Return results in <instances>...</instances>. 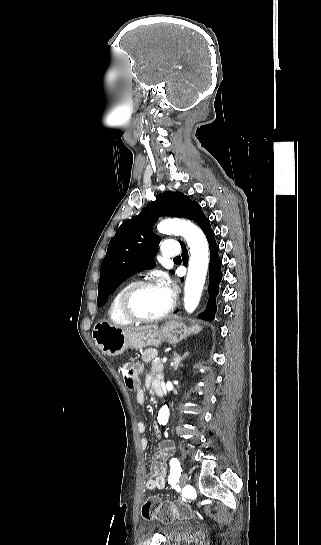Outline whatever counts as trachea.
<instances>
[{
  "instance_id": "1",
  "label": "trachea",
  "mask_w": 321,
  "mask_h": 545,
  "mask_svg": "<svg viewBox=\"0 0 321 545\" xmlns=\"http://www.w3.org/2000/svg\"><path fill=\"white\" fill-rule=\"evenodd\" d=\"M173 260H174V262H176V261H181V257H180V256L175 257Z\"/></svg>"
}]
</instances>
